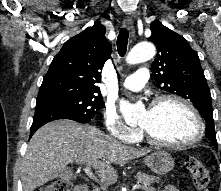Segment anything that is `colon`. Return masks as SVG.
<instances>
[{"instance_id": "5ec220e1", "label": "colon", "mask_w": 221, "mask_h": 191, "mask_svg": "<svg viewBox=\"0 0 221 191\" xmlns=\"http://www.w3.org/2000/svg\"><path fill=\"white\" fill-rule=\"evenodd\" d=\"M185 166L190 172L194 188L196 191H215L214 189L206 188L210 175L206 165L198 158L188 157L185 160ZM72 184L69 180L59 179L54 181L51 185L43 189L42 191H71Z\"/></svg>"}]
</instances>
